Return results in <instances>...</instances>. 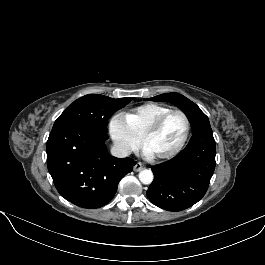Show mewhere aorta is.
<instances>
[{
	"label": "aorta",
	"instance_id": "obj_1",
	"mask_svg": "<svg viewBox=\"0 0 265 265\" xmlns=\"http://www.w3.org/2000/svg\"><path fill=\"white\" fill-rule=\"evenodd\" d=\"M153 178L154 176L151 170L145 169L139 173V180L145 185L151 184Z\"/></svg>",
	"mask_w": 265,
	"mask_h": 265
}]
</instances>
